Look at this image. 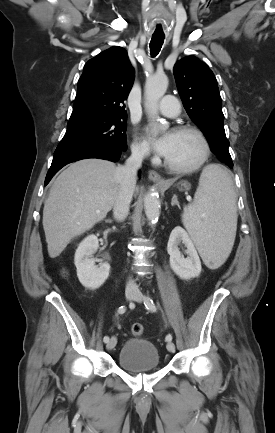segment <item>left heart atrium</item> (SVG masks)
Masks as SVG:
<instances>
[{
    "label": "left heart atrium",
    "instance_id": "39dd6f15",
    "mask_svg": "<svg viewBox=\"0 0 275 433\" xmlns=\"http://www.w3.org/2000/svg\"><path fill=\"white\" fill-rule=\"evenodd\" d=\"M147 134L149 136L150 143L152 144L155 151L162 156H166L171 146V133L161 137H156L154 136L152 129L147 128Z\"/></svg>",
    "mask_w": 275,
    "mask_h": 433
}]
</instances>
